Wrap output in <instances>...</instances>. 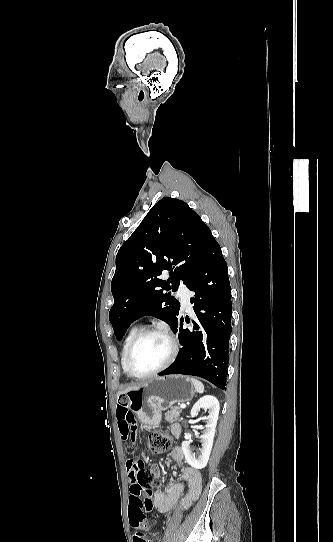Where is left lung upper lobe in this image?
<instances>
[{"mask_svg":"<svg viewBox=\"0 0 333 542\" xmlns=\"http://www.w3.org/2000/svg\"><path fill=\"white\" fill-rule=\"evenodd\" d=\"M212 238L208 226L182 200L164 197L150 209L116 256L109 320L117 340L143 315L175 328L180 302L163 290L175 292L180 280L187 285ZM163 270H170L167 281L159 278Z\"/></svg>","mask_w":333,"mask_h":542,"instance_id":"left-lung-upper-lobe-1","label":"left lung upper lobe"}]
</instances>
